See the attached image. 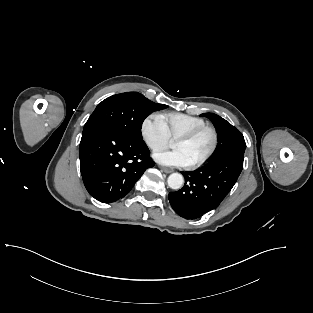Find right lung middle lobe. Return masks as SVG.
<instances>
[{"label":"right lung middle lobe","instance_id":"1","mask_svg":"<svg viewBox=\"0 0 313 313\" xmlns=\"http://www.w3.org/2000/svg\"><path fill=\"white\" fill-rule=\"evenodd\" d=\"M167 105L154 103L138 92H126L103 100L84 125L83 134L95 128H110L129 138L142 139L144 119Z\"/></svg>","mask_w":313,"mask_h":313}]
</instances>
